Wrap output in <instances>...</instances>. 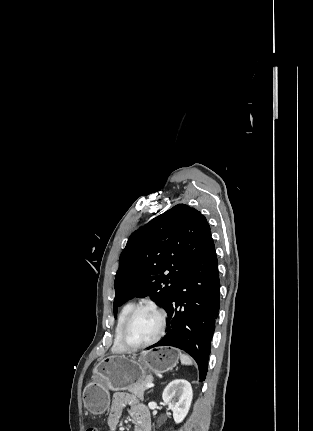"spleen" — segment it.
<instances>
[{
    "label": "spleen",
    "instance_id": "1",
    "mask_svg": "<svg viewBox=\"0 0 313 431\" xmlns=\"http://www.w3.org/2000/svg\"><path fill=\"white\" fill-rule=\"evenodd\" d=\"M180 360H181L182 365H192L193 364L192 358L186 354H180Z\"/></svg>",
    "mask_w": 313,
    "mask_h": 431
}]
</instances>
